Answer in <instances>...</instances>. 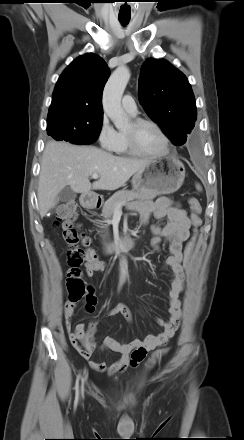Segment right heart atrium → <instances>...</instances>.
I'll return each mask as SVG.
<instances>
[{
  "label": "right heart atrium",
  "instance_id": "1",
  "mask_svg": "<svg viewBox=\"0 0 244 440\" xmlns=\"http://www.w3.org/2000/svg\"><path fill=\"white\" fill-rule=\"evenodd\" d=\"M117 140V132L104 115L98 130V142L102 148L112 150Z\"/></svg>",
  "mask_w": 244,
  "mask_h": 440
}]
</instances>
